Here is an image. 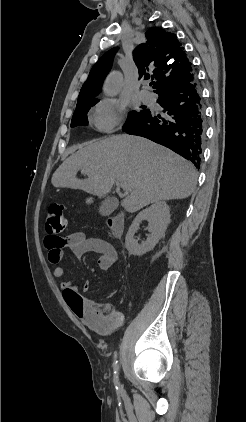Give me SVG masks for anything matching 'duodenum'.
Masks as SVG:
<instances>
[{
	"mask_svg": "<svg viewBox=\"0 0 246 422\" xmlns=\"http://www.w3.org/2000/svg\"><path fill=\"white\" fill-rule=\"evenodd\" d=\"M108 223L114 235L120 236L124 229V216L119 214L113 218H110Z\"/></svg>",
	"mask_w": 246,
	"mask_h": 422,
	"instance_id": "obj_1",
	"label": "duodenum"
}]
</instances>
